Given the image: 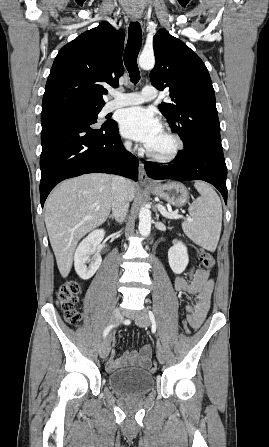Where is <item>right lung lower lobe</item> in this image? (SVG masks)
<instances>
[{
    "label": "right lung lower lobe",
    "mask_w": 269,
    "mask_h": 447,
    "mask_svg": "<svg viewBox=\"0 0 269 447\" xmlns=\"http://www.w3.org/2000/svg\"><path fill=\"white\" fill-rule=\"evenodd\" d=\"M40 200L62 180L86 173H114L138 180V160L123 147L117 124L93 129L70 109L41 115Z\"/></svg>",
    "instance_id": "obj_1"
}]
</instances>
